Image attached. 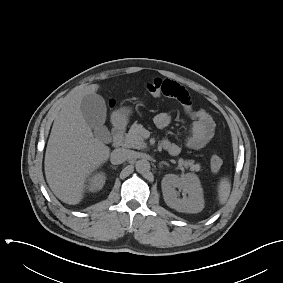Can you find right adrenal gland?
I'll use <instances>...</instances> for the list:
<instances>
[{"mask_svg": "<svg viewBox=\"0 0 283 283\" xmlns=\"http://www.w3.org/2000/svg\"><path fill=\"white\" fill-rule=\"evenodd\" d=\"M112 169H117V167L116 166H113V165H111L110 166Z\"/></svg>", "mask_w": 283, "mask_h": 283, "instance_id": "right-adrenal-gland-1", "label": "right adrenal gland"}]
</instances>
